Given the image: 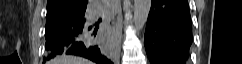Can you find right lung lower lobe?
<instances>
[{
	"label": "right lung lower lobe",
	"instance_id": "obj_1",
	"mask_svg": "<svg viewBox=\"0 0 242 64\" xmlns=\"http://www.w3.org/2000/svg\"><path fill=\"white\" fill-rule=\"evenodd\" d=\"M90 29V20H85L51 32L46 36L44 62L57 55L70 54L85 57L96 64H113L111 59L105 55L102 47L88 35Z\"/></svg>",
	"mask_w": 242,
	"mask_h": 64
}]
</instances>
